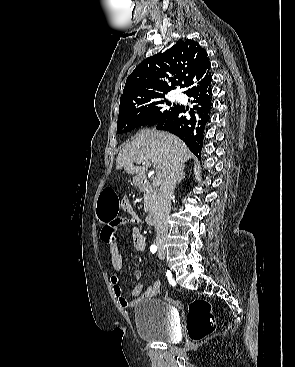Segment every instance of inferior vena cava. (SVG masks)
Masks as SVG:
<instances>
[{
    "label": "inferior vena cava",
    "instance_id": "inferior-vena-cava-1",
    "mask_svg": "<svg viewBox=\"0 0 295 367\" xmlns=\"http://www.w3.org/2000/svg\"><path fill=\"white\" fill-rule=\"evenodd\" d=\"M182 165L174 163L161 184L158 195L157 219H156V244L162 246L168 234V220L171 210V196L180 177Z\"/></svg>",
    "mask_w": 295,
    "mask_h": 367
}]
</instances>
